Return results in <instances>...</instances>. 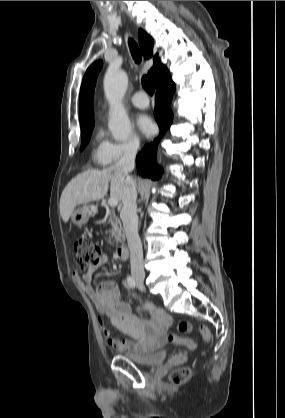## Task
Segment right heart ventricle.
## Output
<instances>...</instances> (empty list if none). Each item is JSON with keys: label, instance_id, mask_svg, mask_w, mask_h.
<instances>
[{"label": "right heart ventricle", "instance_id": "obj_1", "mask_svg": "<svg viewBox=\"0 0 285 418\" xmlns=\"http://www.w3.org/2000/svg\"><path fill=\"white\" fill-rule=\"evenodd\" d=\"M110 142L106 139L101 129H98L93 136L92 160L100 165H105L106 150Z\"/></svg>", "mask_w": 285, "mask_h": 418}]
</instances>
